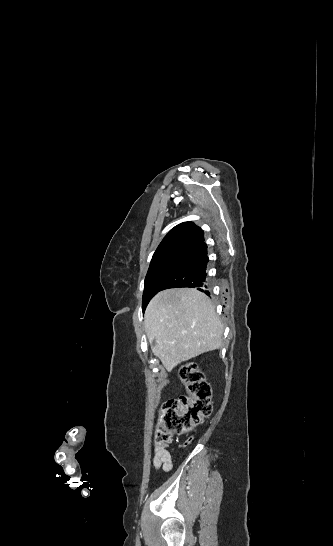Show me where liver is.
Returning <instances> with one entry per match:
<instances>
[{"instance_id": "6515ba94", "label": "liver", "mask_w": 333, "mask_h": 546, "mask_svg": "<svg viewBox=\"0 0 333 546\" xmlns=\"http://www.w3.org/2000/svg\"><path fill=\"white\" fill-rule=\"evenodd\" d=\"M154 354L167 371L181 362L218 349L223 324L207 295L194 288L167 289L157 293L144 315Z\"/></svg>"}]
</instances>
